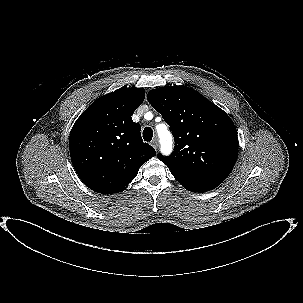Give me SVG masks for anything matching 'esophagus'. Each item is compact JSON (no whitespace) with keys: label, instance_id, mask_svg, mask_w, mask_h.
Wrapping results in <instances>:
<instances>
[{"label":"esophagus","instance_id":"esophagus-1","mask_svg":"<svg viewBox=\"0 0 303 303\" xmlns=\"http://www.w3.org/2000/svg\"><path fill=\"white\" fill-rule=\"evenodd\" d=\"M151 146L154 148V149H157L158 148V140L157 139H153L151 141Z\"/></svg>","mask_w":303,"mask_h":303}]
</instances>
